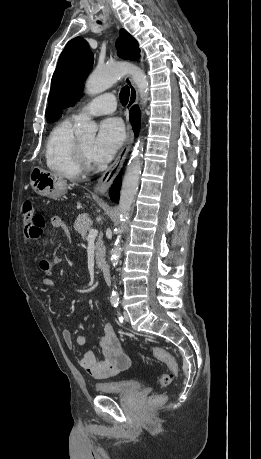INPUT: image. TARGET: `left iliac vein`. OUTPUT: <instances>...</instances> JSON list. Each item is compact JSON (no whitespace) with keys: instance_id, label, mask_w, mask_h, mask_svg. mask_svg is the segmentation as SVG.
Returning <instances> with one entry per match:
<instances>
[{"instance_id":"obj_1","label":"left iliac vein","mask_w":261,"mask_h":459,"mask_svg":"<svg viewBox=\"0 0 261 459\" xmlns=\"http://www.w3.org/2000/svg\"><path fill=\"white\" fill-rule=\"evenodd\" d=\"M123 316H124L125 321H129V315L126 311L123 312Z\"/></svg>"}]
</instances>
